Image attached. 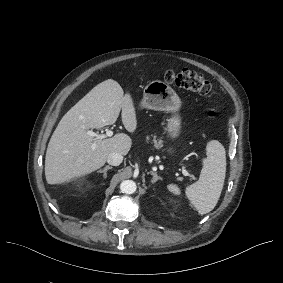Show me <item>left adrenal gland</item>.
<instances>
[{
    "label": "left adrenal gland",
    "mask_w": 283,
    "mask_h": 283,
    "mask_svg": "<svg viewBox=\"0 0 283 283\" xmlns=\"http://www.w3.org/2000/svg\"><path fill=\"white\" fill-rule=\"evenodd\" d=\"M148 174H151L153 176L151 182L155 183L157 180H162V177L158 176L156 172L150 171Z\"/></svg>",
    "instance_id": "1"
}]
</instances>
